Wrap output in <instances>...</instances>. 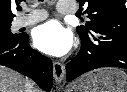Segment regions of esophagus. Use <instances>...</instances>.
<instances>
[{"label": "esophagus", "instance_id": "1", "mask_svg": "<svg viewBox=\"0 0 127 92\" xmlns=\"http://www.w3.org/2000/svg\"><path fill=\"white\" fill-rule=\"evenodd\" d=\"M53 75L56 83H60L64 77V65L58 61L53 62Z\"/></svg>", "mask_w": 127, "mask_h": 92}]
</instances>
